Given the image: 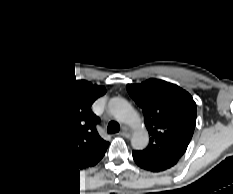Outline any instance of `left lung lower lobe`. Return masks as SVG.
Masks as SVG:
<instances>
[{"instance_id": "0a47b994", "label": "left lung lower lobe", "mask_w": 233, "mask_h": 194, "mask_svg": "<svg viewBox=\"0 0 233 194\" xmlns=\"http://www.w3.org/2000/svg\"><path fill=\"white\" fill-rule=\"evenodd\" d=\"M133 158L138 166L143 169L150 170L153 172L163 171L175 165L176 160L164 159V158H154L144 154L141 151H133Z\"/></svg>"}]
</instances>
